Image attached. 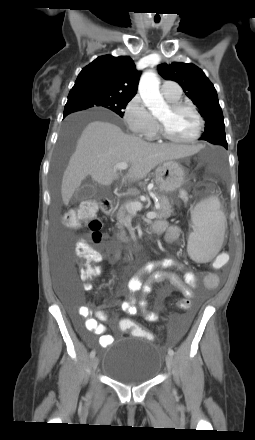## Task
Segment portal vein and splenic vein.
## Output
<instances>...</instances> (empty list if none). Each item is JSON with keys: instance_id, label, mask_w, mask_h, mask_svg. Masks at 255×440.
Instances as JSON below:
<instances>
[{"instance_id": "1", "label": "portal vein and splenic vein", "mask_w": 255, "mask_h": 440, "mask_svg": "<svg viewBox=\"0 0 255 440\" xmlns=\"http://www.w3.org/2000/svg\"><path fill=\"white\" fill-rule=\"evenodd\" d=\"M128 168V163L121 162L114 166V171L117 170H126ZM143 208V205L140 202H132L127 205V210L130 213L135 214L137 211H140ZM157 216V213L154 211H151L147 213V218L154 219Z\"/></svg>"}]
</instances>
